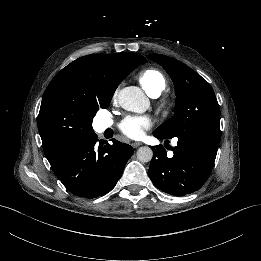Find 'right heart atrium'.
<instances>
[{
	"mask_svg": "<svg viewBox=\"0 0 261 261\" xmlns=\"http://www.w3.org/2000/svg\"><path fill=\"white\" fill-rule=\"evenodd\" d=\"M116 97V93L113 95V99Z\"/></svg>",
	"mask_w": 261,
	"mask_h": 261,
	"instance_id": "right-heart-atrium-1",
	"label": "right heart atrium"
}]
</instances>
